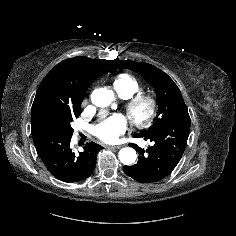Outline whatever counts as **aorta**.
<instances>
[{"label": "aorta", "instance_id": "762f6f07", "mask_svg": "<svg viewBox=\"0 0 236 236\" xmlns=\"http://www.w3.org/2000/svg\"><path fill=\"white\" fill-rule=\"evenodd\" d=\"M114 98L112 90L107 88H99L92 92L91 100L92 103L98 107H107L111 104ZM119 160L125 164H133L137 158L136 151L133 148L125 147L119 151Z\"/></svg>", "mask_w": 236, "mask_h": 236}]
</instances>
